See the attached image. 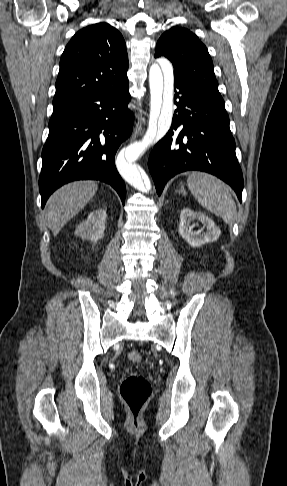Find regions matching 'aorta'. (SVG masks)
I'll use <instances>...</instances> for the list:
<instances>
[{
    "label": "aorta",
    "instance_id": "1",
    "mask_svg": "<svg viewBox=\"0 0 287 486\" xmlns=\"http://www.w3.org/2000/svg\"><path fill=\"white\" fill-rule=\"evenodd\" d=\"M150 117L149 125L141 141L134 142L125 151L126 160H119L117 167L123 179L134 188L145 191L146 187L139 166L133 161L148 146L163 138L173 118L174 75L172 64L165 58L152 64L149 72Z\"/></svg>",
    "mask_w": 287,
    "mask_h": 486
}]
</instances>
